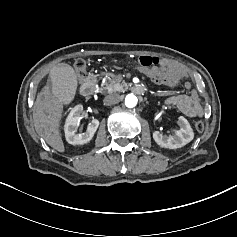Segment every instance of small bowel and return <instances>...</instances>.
I'll return each instance as SVG.
<instances>
[{
  "label": "small bowel",
  "instance_id": "obj_1",
  "mask_svg": "<svg viewBox=\"0 0 237 237\" xmlns=\"http://www.w3.org/2000/svg\"><path fill=\"white\" fill-rule=\"evenodd\" d=\"M138 70L149 78L156 73L154 69H146L140 66H138ZM162 70L171 77V82L169 84H175L179 80L188 77V71L174 61H165ZM184 85L187 89L191 88V83L189 81H186ZM166 102L169 105L177 107L182 113L189 117L200 118L205 115V110L202 107L199 96L195 90H192L189 94L171 96Z\"/></svg>",
  "mask_w": 237,
  "mask_h": 237
}]
</instances>
